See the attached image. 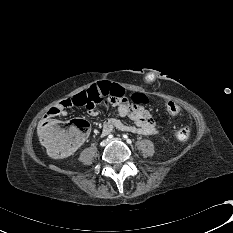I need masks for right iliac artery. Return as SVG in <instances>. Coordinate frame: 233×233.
Masks as SVG:
<instances>
[{
  "label": "right iliac artery",
  "mask_w": 233,
  "mask_h": 233,
  "mask_svg": "<svg viewBox=\"0 0 233 233\" xmlns=\"http://www.w3.org/2000/svg\"><path fill=\"white\" fill-rule=\"evenodd\" d=\"M108 138H110V139L113 138V135L110 134V135L108 136ZM107 140H108V139H107Z\"/></svg>",
  "instance_id": "1"
}]
</instances>
